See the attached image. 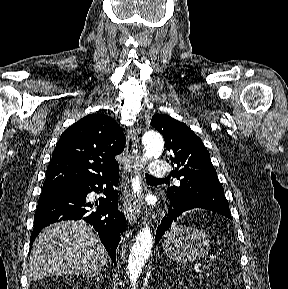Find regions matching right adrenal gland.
<instances>
[{
  "instance_id": "right-adrenal-gland-1",
  "label": "right adrenal gland",
  "mask_w": 288,
  "mask_h": 289,
  "mask_svg": "<svg viewBox=\"0 0 288 289\" xmlns=\"http://www.w3.org/2000/svg\"><path fill=\"white\" fill-rule=\"evenodd\" d=\"M100 276H101V274L99 272L92 274V278H94L97 282H99Z\"/></svg>"
}]
</instances>
